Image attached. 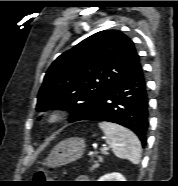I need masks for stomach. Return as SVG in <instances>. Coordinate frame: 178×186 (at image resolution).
<instances>
[{
	"mask_svg": "<svg viewBox=\"0 0 178 186\" xmlns=\"http://www.w3.org/2000/svg\"><path fill=\"white\" fill-rule=\"evenodd\" d=\"M85 141L81 138H68L59 142L45 160L50 168L60 167L80 159L85 150Z\"/></svg>",
	"mask_w": 178,
	"mask_h": 186,
	"instance_id": "1",
	"label": "stomach"
}]
</instances>
